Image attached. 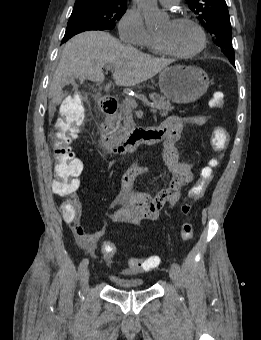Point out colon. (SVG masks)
Segmentation results:
<instances>
[{
	"label": "colon",
	"mask_w": 261,
	"mask_h": 340,
	"mask_svg": "<svg viewBox=\"0 0 261 340\" xmlns=\"http://www.w3.org/2000/svg\"><path fill=\"white\" fill-rule=\"evenodd\" d=\"M210 106L221 109L225 106V98L222 92H215L210 100ZM85 106L78 98H68L63 103L61 117L55 124L52 134V153L54 159L52 190L59 197L71 196L79 187V175L82 172V163L72 151L71 143L78 136L80 127L85 120ZM229 141V134L224 127L214 128L211 136L212 148L223 151ZM216 160L203 168L198 182L190 191L189 200L182 206V212L188 214L191 209V201L199 198L206 188L212 183L215 174L214 167ZM62 215L72 216L76 212L75 202L66 200L61 205ZM180 236L183 240H190L193 237V226L185 220L180 228ZM101 250L105 258L111 259L117 254V247L114 243L103 242ZM159 256H148L145 258H130L127 262L125 272L148 271L158 267Z\"/></svg>",
	"instance_id": "5ec220e1"
}]
</instances>
